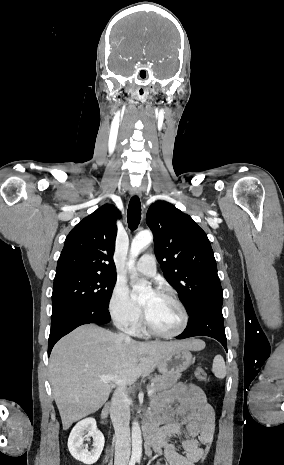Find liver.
I'll use <instances>...</instances> for the list:
<instances>
[{
	"mask_svg": "<svg viewBox=\"0 0 284 465\" xmlns=\"http://www.w3.org/2000/svg\"><path fill=\"white\" fill-rule=\"evenodd\" d=\"M176 347L202 351L205 343L200 339L138 343L97 325H83L60 339L52 351L49 371L63 431L106 403L115 385L102 383L99 375H115L124 385H133L139 377L153 373L157 361Z\"/></svg>",
	"mask_w": 284,
	"mask_h": 465,
	"instance_id": "6515ba94",
	"label": "liver"
}]
</instances>
